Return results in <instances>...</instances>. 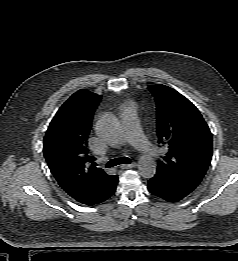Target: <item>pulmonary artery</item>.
I'll return each mask as SVG.
<instances>
[{
    "instance_id": "pulmonary-artery-1",
    "label": "pulmonary artery",
    "mask_w": 238,
    "mask_h": 261,
    "mask_svg": "<svg viewBox=\"0 0 238 261\" xmlns=\"http://www.w3.org/2000/svg\"><path fill=\"white\" fill-rule=\"evenodd\" d=\"M120 117L124 129V140L144 154L158 155V150L147 140L142 132L136 108L133 105L124 107Z\"/></svg>"
}]
</instances>
